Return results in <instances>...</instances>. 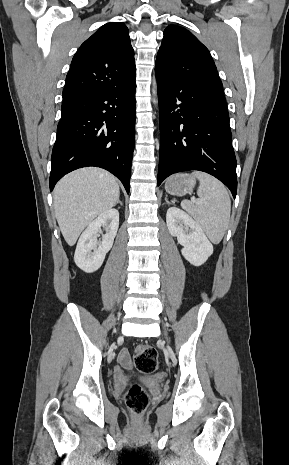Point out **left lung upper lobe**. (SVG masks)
Wrapping results in <instances>:
<instances>
[{
  "label": "left lung upper lobe",
  "mask_w": 289,
  "mask_h": 465,
  "mask_svg": "<svg viewBox=\"0 0 289 465\" xmlns=\"http://www.w3.org/2000/svg\"><path fill=\"white\" fill-rule=\"evenodd\" d=\"M156 74L168 80L197 83L223 91L208 49L188 30L170 25L164 31L155 65Z\"/></svg>",
  "instance_id": "1"
}]
</instances>
